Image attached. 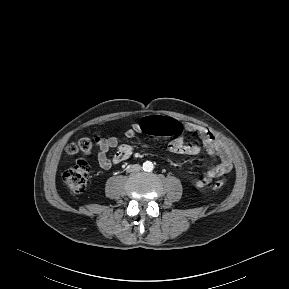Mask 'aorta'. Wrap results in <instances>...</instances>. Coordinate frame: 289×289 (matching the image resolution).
<instances>
[{
    "label": "aorta",
    "instance_id": "obj_1",
    "mask_svg": "<svg viewBox=\"0 0 289 289\" xmlns=\"http://www.w3.org/2000/svg\"><path fill=\"white\" fill-rule=\"evenodd\" d=\"M154 169V165L151 161H145L143 163V170L146 172H151Z\"/></svg>",
    "mask_w": 289,
    "mask_h": 289
}]
</instances>
